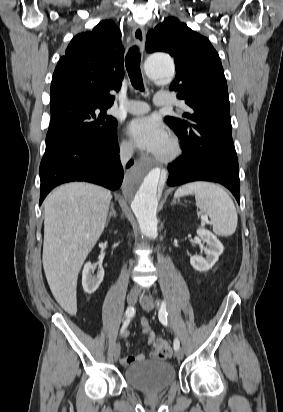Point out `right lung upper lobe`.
Listing matches in <instances>:
<instances>
[{
    "instance_id": "obj_1",
    "label": "right lung upper lobe",
    "mask_w": 283,
    "mask_h": 412,
    "mask_svg": "<svg viewBox=\"0 0 283 412\" xmlns=\"http://www.w3.org/2000/svg\"><path fill=\"white\" fill-rule=\"evenodd\" d=\"M54 71L51 82V115L74 104L110 107L111 90L118 91L124 77L121 32L111 21L75 36Z\"/></svg>"
}]
</instances>
